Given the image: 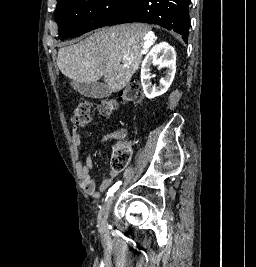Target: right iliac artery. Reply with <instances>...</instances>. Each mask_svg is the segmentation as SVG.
I'll list each match as a JSON object with an SVG mask.
<instances>
[{
    "label": "right iliac artery",
    "mask_w": 256,
    "mask_h": 267,
    "mask_svg": "<svg viewBox=\"0 0 256 267\" xmlns=\"http://www.w3.org/2000/svg\"><path fill=\"white\" fill-rule=\"evenodd\" d=\"M121 185V181H118L117 183H115L107 192V198L109 196H112L114 194V192H116V190L119 188V186Z\"/></svg>",
    "instance_id": "obj_1"
}]
</instances>
